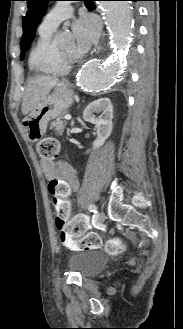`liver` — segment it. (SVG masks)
I'll return each mask as SVG.
<instances>
[{
    "instance_id": "6515ba94",
    "label": "liver",
    "mask_w": 183,
    "mask_h": 329,
    "mask_svg": "<svg viewBox=\"0 0 183 329\" xmlns=\"http://www.w3.org/2000/svg\"><path fill=\"white\" fill-rule=\"evenodd\" d=\"M58 83V79L39 76L31 79L25 89L22 101V114L27 115L34 107L49 94Z\"/></svg>"
}]
</instances>
